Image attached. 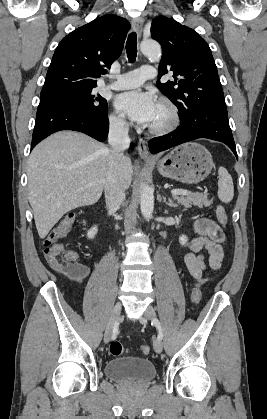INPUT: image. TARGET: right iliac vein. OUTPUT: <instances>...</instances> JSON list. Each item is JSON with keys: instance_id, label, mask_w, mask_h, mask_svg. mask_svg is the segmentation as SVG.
Segmentation results:
<instances>
[{"instance_id": "63e3f726", "label": "right iliac vein", "mask_w": 267, "mask_h": 419, "mask_svg": "<svg viewBox=\"0 0 267 419\" xmlns=\"http://www.w3.org/2000/svg\"><path fill=\"white\" fill-rule=\"evenodd\" d=\"M121 313V303L117 302L111 312V315L109 317V321L105 330L104 334V342L108 343L112 337V331L115 326V324L119 321Z\"/></svg>"}]
</instances>
